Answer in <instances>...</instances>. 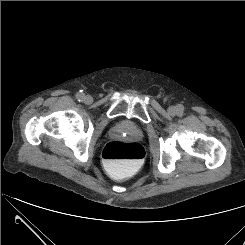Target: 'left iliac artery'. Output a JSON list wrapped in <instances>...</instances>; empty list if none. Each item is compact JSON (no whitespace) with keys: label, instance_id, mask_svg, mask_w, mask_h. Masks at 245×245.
Returning <instances> with one entry per match:
<instances>
[{"label":"left iliac artery","instance_id":"1","mask_svg":"<svg viewBox=\"0 0 245 245\" xmlns=\"http://www.w3.org/2000/svg\"><path fill=\"white\" fill-rule=\"evenodd\" d=\"M184 107L183 105H178V114L181 115L183 113Z\"/></svg>","mask_w":245,"mask_h":245}]
</instances>
